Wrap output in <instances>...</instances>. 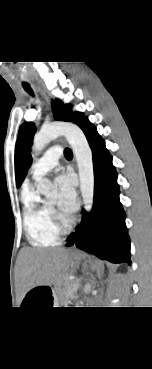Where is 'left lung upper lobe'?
<instances>
[{"label": "left lung upper lobe", "instance_id": "1", "mask_svg": "<svg viewBox=\"0 0 152 369\" xmlns=\"http://www.w3.org/2000/svg\"><path fill=\"white\" fill-rule=\"evenodd\" d=\"M54 117L60 121H69L77 125H80L87 117L81 112L73 113L69 105H65L59 99H56L52 103ZM36 132V127L33 123L27 122L22 124L19 130V137L16 142L15 148V174L16 185L20 186L21 182L27 173L28 168L32 162L30 147L32 145V139Z\"/></svg>", "mask_w": 152, "mask_h": 369}]
</instances>
